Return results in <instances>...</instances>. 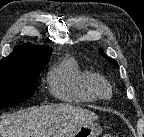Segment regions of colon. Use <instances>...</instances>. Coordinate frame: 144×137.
<instances>
[{"label":"colon","mask_w":144,"mask_h":137,"mask_svg":"<svg viewBox=\"0 0 144 137\" xmlns=\"http://www.w3.org/2000/svg\"><path fill=\"white\" fill-rule=\"evenodd\" d=\"M105 137H113V136H110V135H106Z\"/></svg>","instance_id":"5ec220e1"}]
</instances>
